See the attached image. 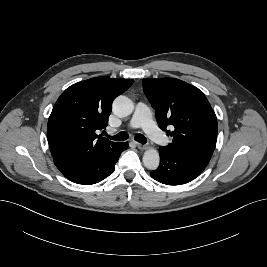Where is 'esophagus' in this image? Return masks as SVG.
<instances>
[{
  "label": "esophagus",
  "instance_id": "esophagus-1",
  "mask_svg": "<svg viewBox=\"0 0 267 267\" xmlns=\"http://www.w3.org/2000/svg\"><path fill=\"white\" fill-rule=\"evenodd\" d=\"M136 145L140 150H146L148 148L146 144L137 143Z\"/></svg>",
  "mask_w": 267,
  "mask_h": 267
}]
</instances>
